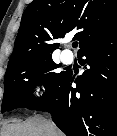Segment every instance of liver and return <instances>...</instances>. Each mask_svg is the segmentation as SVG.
<instances>
[{
    "instance_id": "6515ba94",
    "label": "liver",
    "mask_w": 117,
    "mask_h": 136,
    "mask_svg": "<svg viewBox=\"0 0 117 136\" xmlns=\"http://www.w3.org/2000/svg\"><path fill=\"white\" fill-rule=\"evenodd\" d=\"M3 134V136H63L53 123L41 117L5 125Z\"/></svg>"
}]
</instances>
